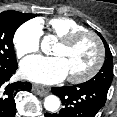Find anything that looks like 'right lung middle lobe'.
Returning <instances> with one entry per match:
<instances>
[{
    "instance_id": "right-lung-middle-lobe-1",
    "label": "right lung middle lobe",
    "mask_w": 117,
    "mask_h": 117,
    "mask_svg": "<svg viewBox=\"0 0 117 117\" xmlns=\"http://www.w3.org/2000/svg\"><path fill=\"white\" fill-rule=\"evenodd\" d=\"M37 14L5 11L0 13V66L16 64L13 37L17 28Z\"/></svg>"
}]
</instances>
